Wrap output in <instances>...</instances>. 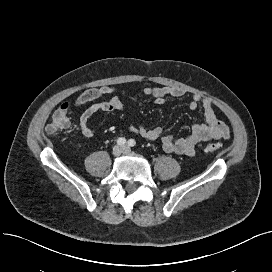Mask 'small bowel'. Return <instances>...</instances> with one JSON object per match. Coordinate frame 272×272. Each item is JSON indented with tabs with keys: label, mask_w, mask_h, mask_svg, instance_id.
Instances as JSON below:
<instances>
[{
	"label": "small bowel",
	"mask_w": 272,
	"mask_h": 272,
	"mask_svg": "<svg viewBox=\"0 0 272 272\" xmlns=\"http://www.w3.org/2000/svg\"><path fill=\"white\" fill-rule=\"evenodd\" d=\"M115 92L112 86H101L90 88L84 91L77 99V105H84L99 99L111 96ZM146 96L152 97L156 104H161L169 96L183 97L186 91L180 87H146L144 89ZM71 108L70 103H65L61 107ZM191 110L201 107L204 113V122L196 123L192 126L190 134L186 137H175L174 135H165L162 137V148L166 152L192 156L195 153V147L200 142L210 140L227 139L230 136L228 126L218 118L214 103L209 99H203L200 95H192L189 103ZM124 108L122 101L118 97H111L91 104L81 114L78 124L81 133L87 138L96 136V132L89 124L90 118L99 111L118 112ZM129 131L138 134L148 140H157L162 135L160 127L147 128L144 125L130 126Z\"/></svg>",
	"instance_id": "small-bowel-1"
}]
</instances>
